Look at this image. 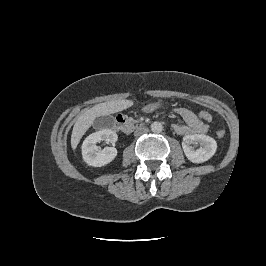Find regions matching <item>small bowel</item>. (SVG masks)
<instances>
[{
	"label": "small bowel",
	"mask_w": 266,
	"mask_h": 266,
	"mask_svg": "<svg viewBox=\"0 0 266 266\" xmlns=\"http://www.w3.org/2000/svg\"><path fill=\"white\" fill-rule=\"evenodd\" d=\"M175 112L184 120L185 124H174L173 129L179 135L201 134L208 130L205 124L198 116L187 107L175 108Z\"/></svg>",
	"instance_id": "small-bowel-1"
}]
</instances>
